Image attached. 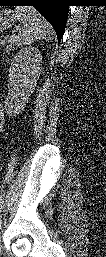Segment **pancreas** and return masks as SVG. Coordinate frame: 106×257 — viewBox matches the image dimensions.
Instances as JSON below:
<instances>
[{"label": "pancreas", "mask_w": 106, "mask_h": 257, "mask_svg": "<svg viewBox=\"0 0 106 257\" xmlns=\"http://www.w3.org/2000/svg\"><path fill=\"white\" fill-rule=\"evenodd\" d=\"M2 46H5V51L10 52L15 49V47L19 46V38L16 36L8 37L4 40H1Z\"/></svg>", "instance_id": "cf45deb5"}]
</instances>
